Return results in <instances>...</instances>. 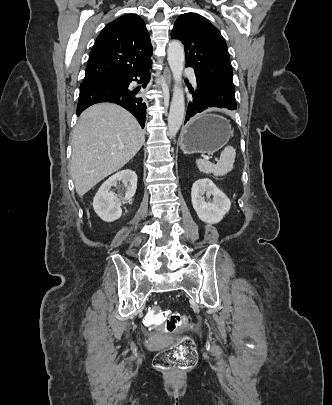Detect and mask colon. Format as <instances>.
Returning a JSON list of instances; mask_svg holds the SVG:
<instances>
[{"instance_id": "obj_1", "label": "colon", "mask_w": 332, "mask_h": 405, "mask_svg": "<svg viewBox=\"0 0 332 405\" xmlns=\"http://www.w3.org/2000/svg\"><path fill=\"white\" fill-rule=\"evenodd\" d=\"M144 321L146 328H164L167 332L191 327L193 323L190 315L170 313L161 307H152ZM196 360L194 341L186 336L178 344L158 352L154 365L165 370L189 369L195 365Z\"/></svg>"}]
</instances>
